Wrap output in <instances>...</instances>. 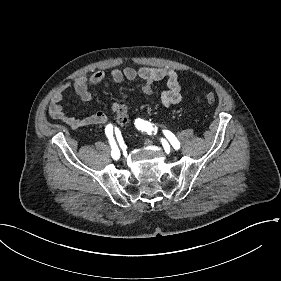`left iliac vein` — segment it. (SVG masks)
Masks as SVG:
<instances>
[{
  "mask_svg": "<svg viewBox=\"0 0 281 281\" xmlns=\"http://www.w3.org/2000/svg\"><path fill=\"white\" fill-rule=\"evenodd\" d=\"M165 148L168 150V151H170L171 150V148H170V145L168 144V143H165Z\"/></svg>",
  "mask_w": 281,
  "mask_h": 281,
  "instance_id": "1",
  "label": "left iliac vein"
}]
</instances>
